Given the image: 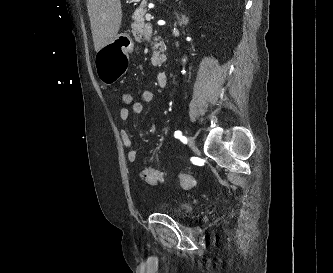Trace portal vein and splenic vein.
<instances>
[{"label": "portal vein and splenic vein", "instance_id": "18ae733b", "mask_svg": "<svg viewBox=\"0 0 333 273\" xmlns=\"http://www.w3.org/2000/svg\"><path fill=\"white\" fill-rule=\"evenodd\" d=\"M145 18L147 21H150L152 19L151 14H146Z\"/></svg>", "mask_w": 333, "mask_h": 273}]
</instances>
